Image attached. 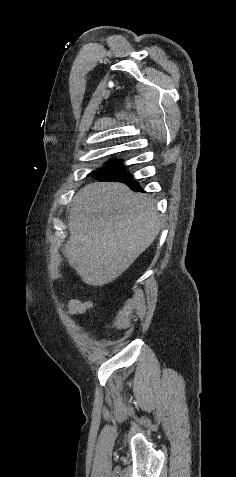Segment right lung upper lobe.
Instances as JSON below:
<instances>
[{
  "label": "right lung upper lobe",
  "mask_w": 236,
  "mask_h": 477,
  "mask_svg": "<svg viewBox=\"0 0 236 477\" xmlns=\"http://www.w3.org/2000/svg\"><path fill=\"white\" fill-rule=\"evenodd\" d=\"M112 163H120L118 160H111Z\"/></svg>",
  "instance_id": "obj_1"
}]
</instances>
